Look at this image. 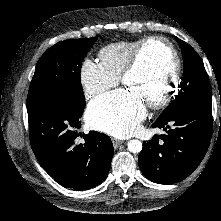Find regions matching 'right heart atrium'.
I'll list each match as a JSON object with an SVG mask.
<instances>
[{
	"instance_id": "1",
	"label": "right heart atrium",
	"mask_w": 221,
	"mask_h": 221,
	"mask_svg": "<svg viewBox=\"0 0 221 221\" xmlns=\"http://www.w3.org/2000/svg\"><path fill=\"white\" fill-rule=\"evenodd\" d=\"M81 83L87 97L93 98L118 83V78L107 74L99 63L85 60L80 71Z\"/></svg>"
}]
</instances>
